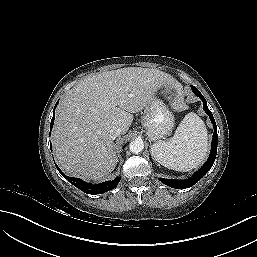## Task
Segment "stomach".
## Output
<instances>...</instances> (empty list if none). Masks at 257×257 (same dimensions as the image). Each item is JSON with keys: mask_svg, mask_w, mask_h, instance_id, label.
I'll use <instances>...</instances> for the list:
<instances>
[{"mask_svg": "<svg viewBox=\"0 0 257 257\" xmlns=\"http://www.w3.org/2000/svg\"><path fill=\"white\" fill-rule=\"evenodd\" d=\"M141 121L148 138L152 141L169 134L174 127V117L171 111L164 100L158 96H153L148 102L144 108Z\"/></svg>", "mask_w": 257, "mask_h": 257, "instance_id": "obj_1", "label": "stomach"}]
</instances>
